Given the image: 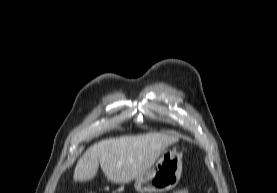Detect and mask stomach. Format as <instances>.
Wrapping results in <instances>:
<instances>
[{
	"label": "stomach",
	"instance_id": "1",
	"mask_svg": "<svg viewBox=\"0 0 277 193\" xmlns=\"http://www.w3.org/2000/svg\"><path fill=\"white\" fill-rule=\"evenodd\" d=\"M182 173V154L165 150L155 166L135 179L134 187L139 193H163L173 189Z\"/></svg>",
	"mask_w": 277,
	"mask_h": 193
}]
</instances>
